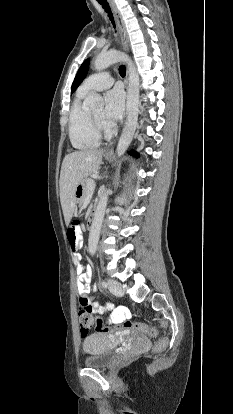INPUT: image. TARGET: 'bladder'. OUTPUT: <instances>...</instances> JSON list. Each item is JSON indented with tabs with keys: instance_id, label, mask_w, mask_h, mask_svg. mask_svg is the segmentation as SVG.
I'll return each instance as SVG.
<instances>
[{
	"instance_id": "31cf9c89",
	"label": "bladder",
	"mask_w": 233,
	"mask_h": 414,
	"mask_svg": "<svg viewBox=\"0 0 233 414\" xmlns=\"http://www.w3.org/2000/svg\"><path fill=\"white\" fill-rule=\"evenodd\" d=\"M83 348L87 353L84 365L88 368L105 369L115 359L111 339L107 335L101 333L88 335L84 341Z\"/></svg>"
}]
</instances>
